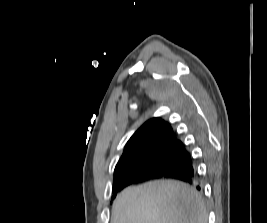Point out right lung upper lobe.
<instances>
[{
    "label": "right lung upper lobe",
    "instance_id": "right-lung-upper-lobe-1",
    "mask_svg": "<svg viewBox=\"0 0 267 223\" xmlns=\"http://www.w3.org/2000/svg\"><path fill=\"white\" fill-rule=\"evenodd\" d=\"M168 148L185 150L184 144L177 138L168 122L161 118L148 120L127 142L123 155L116 165L115 177L124 174L125 166L129 163L148 160Z\"/></svg>",
    "mask_w": 267,
    "mask_h": 223
}]
</instances>
